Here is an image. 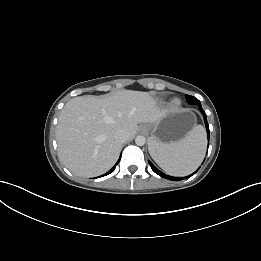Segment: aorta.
I'll use <instances>...</instances> for the list:
<instances>
[{"label":"aorta","mask_w":261,"mask_h":261,"mask_svg":"<svg viewBox=\"0 0 261 261\" xmlns=\"http://www.w3.org/2000/svg\"><path fill=\"white\" fill-rule=\"evenodd\" d=\"M135 143H136V145H138V146H143L145 143H146V138L144 137V136H137L136 138H135Z\"/></svg>","instance_id":"1"}]
</instances>
